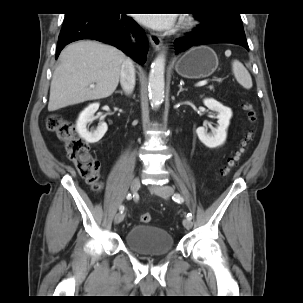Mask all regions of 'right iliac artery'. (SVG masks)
Here are the masks:
<instances>
[{
    "mask_svg": "<svg viewBox=\"0 0 303 303\" xmlns=\"http://www.w3.org/2000/svg\"><path fill=\"white\" fill-rule=\"evenodd\" d=\"M131 198H132V195L129 193V194L127 195V199L130 200ZM119 210H120V212L122 213V212L124 211V206L121 205L120 208H119Z\"/></svg>",
    "mask_w": 303,
    "mask_h": 303,
    "instance_id": "obj_1",
    "label": "right iliac artery"
}]
</instances>
